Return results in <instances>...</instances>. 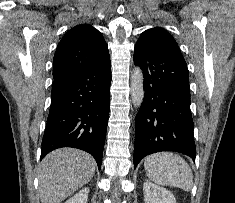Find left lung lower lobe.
Wrapping results in <instances>:
<instances>
[{
	"instance_id": "left-lung-lower-lobe-1",
	"label": "left lung lower lobe",
	"mask_w": 235,
	"mask_h": 203,
	"mask_svg": "<svg viewBox=\"0 0 235 203\" xmlns=\"http://www.w3.org/2000/svg\"><path fill=\"white\" fill-rule=\"evenodd\" d=\"M134 63L144 74L145 97L135 120L134 168L145 156L176 151L196 157L189 73L183 58L136 43Z\"/></svg>"
}]
</instances>
